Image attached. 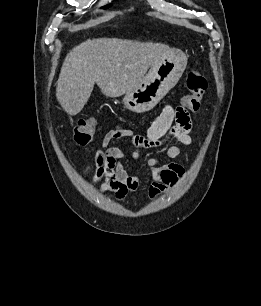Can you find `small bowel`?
I'll list each match as a JSON object with an SVG mask.
<instances>
[{
    "instance_id": "obj_1",
    "label": "small bowel",
    "mask_w": 261,
    "mask_h": 306,
    "mask_svg": "<svg viewBox=\"0 0 261 306\" xmlns=\"http://www.w3.org/2000/svg\"><path fill=\"white\" fill-rule=\"evenodd\" d=\"M198 120V109L192 111V116L182 107L174 108L166 105L160 115L143 135L133 136L135 147L134 157L139 151L162 145L166 141H175L184 146L192 144L190 132L193 122ZM131 132L124 128H115L106 133L103 138L105 161L101 168H97L96 176L101 179L100 191L109 192L117 200L129 198L134 200L133 192L140 186V177L132 173L121 163L124 152L118 147L109 146L113 140L129 137ZM163 156L176 159L182 156V150L172 145L165 149ZM146 166L152 177L148 192L151 198H157L162 193L174 188L184 176L185 170L178 163L160 164V158L151 156L146 160Z\"/></svg>"
}]
</instances>
